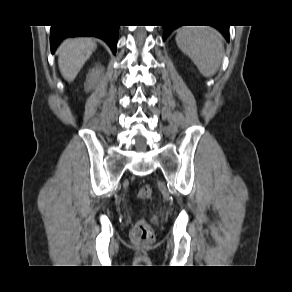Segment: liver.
<instances>
[{
	"label": "liver",
	"mask_w": 292,
	"mask_h": 292,
	"mask_svg": "<svg viewBox=\"0 0 292 292\" xmlns=\"http://www.w3.org/2000/svg\"><path fill=\"white\" fill-rule=\"evenodd\" d=\"M96 49L91 38H70L59 47L58 65L62 76L71 82Z\"/></svg>",
	"instance_id": "obj_1"
}]
</instances>
